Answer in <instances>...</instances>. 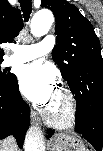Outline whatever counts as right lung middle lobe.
<instances>
[{"instance_id": "dd1d6c3e", "label": "right lung middle lobe", "mask_w": 103, "mask_h": 151, "mask_svg": "<svg viewBox=\"0 0 103 151\" xmlns=\"http://www.w3.org/2000/svg\"><path fill=\"white\" fill-rule=\"evenodd\" d=\"M2 61L0 60V63ZM8 71L9 69L1 70L0 68V85L3 87H10L17 83L16 76Z\"/></svg>"}]
</instances>
